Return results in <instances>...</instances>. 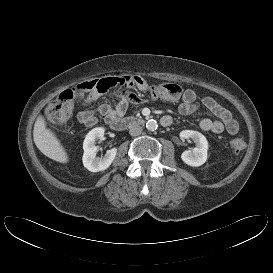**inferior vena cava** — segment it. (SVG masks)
Wrapping results in <instances>:
<instances>
[{
	"instance_id": "602c4592",
	"label": "inferior vena cava",
	"mask_w": 273,
	"mask_h": 273,
	"mask_svg": "<svg viewBox=\"0 0 273 273\" xmlns=\"http://www.w3.org/2000/svg\"><path fill=\"white\" fill-rule=\"evenodd\" d=\"M142 133V127L138 124H133L129 128V134L131 136H138Z\"/></svg>"
}]
</instances>
